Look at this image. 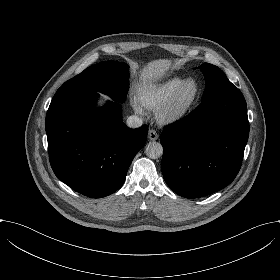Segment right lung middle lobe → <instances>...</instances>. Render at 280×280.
<instances>
[{"instance_id":"right-lung-middle-lobe-1","label":"right lung middle lobe","mask_w":280,"mask_h":280,"mask_svg":"<svg viewBox=\"0 0 280 280\" xmlns=\"http://www.w3.org/2000/svg\"><path fill=\"white\" fill-rule=\"evenodd\" d=\"M129 68L126 63L104 61L86 68L60 88L88 89L124 102L129 89Z\"/></svg>"}]
</instances>
